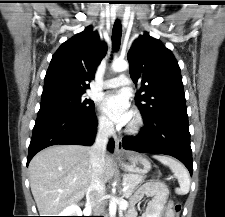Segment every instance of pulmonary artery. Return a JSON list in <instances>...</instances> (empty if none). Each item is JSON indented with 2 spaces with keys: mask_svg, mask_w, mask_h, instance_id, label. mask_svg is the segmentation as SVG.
<instances>
[{
  "mask_svg": "<svg viewBox=\"0 0 225 217\" xmlns=\"http://www.w3.org/2000/svg\"><path fill=\"white\" fill-rule=\"evenodd\" d=\"M130 80L125 75H120L117 78L108 79L103 83L104 88H116L119 86L129 85Z\"/></svg>",
  "mask_w": 225,
  "mask_h": 217,
  "instance_id": "1",
  "label": "pulmonary artery"
}]
</instances>
